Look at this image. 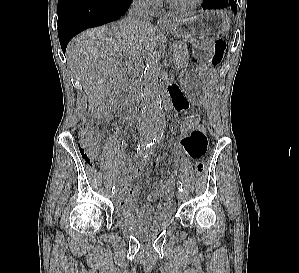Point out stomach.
<instances>
[{"instance_id":"1","label":"stomach","mask_w":299,"mask_h":273,"mask_svg":"<svg viewBox=\"0 0 299 273\" xmlns=\"http://www.w3.org/2000/svg\"><path fill=\"white\" fill-rule=\"evenodd\" d=\"M230 27L229 17L222 11H201L183 19L180 23H168L167 31L185 42H190L194 61H209L208 52L213 48L215 39L223 36ZM213 62H198L195 69L184 70L180 77L190 96L188 101L197 103L205 100L211 90L212 74H219V69H210Z\"/></svg>"}]
</instances>
